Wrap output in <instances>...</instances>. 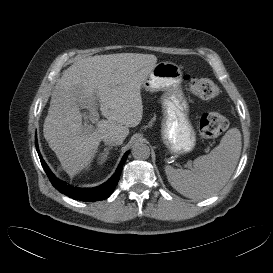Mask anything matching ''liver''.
Segmentation results:
<instances>
[{"label":"liver","mask_w":273,"mask_h":273,"mask_svg":"<svg viewBox=\"0 0 273 273\" xmlns=\"http://www.w3.org/2000/svg\"><path fill=\"white\" fill-rule=\"evenodd\" d=\"M156 62L152 54L96 55L63 72L51 95L43 133L69 175L88 167L104 138L115 136L123 143L129 127L140 123L141 86ZM97 103L107 119L89 131L82 124L79 106L96 108Z\"/></svg>","instance_id":"obj_1"}]
</instances>
